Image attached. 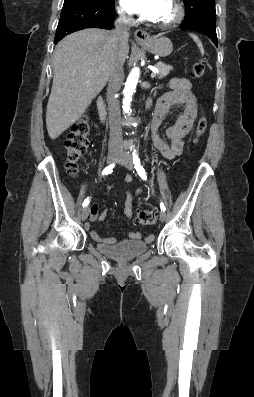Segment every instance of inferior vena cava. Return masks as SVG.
<instances>
[{
    "label": "inferior vena cava",
    "instance_id": "obj_1",
    "mask_svg": "<svg viewBox=\"0 0 254 397\" xmlns=\"http://www.w3.org/2000/svg\"><path fill=\"white\" fill-rule=\"evenodd\" d=\"M132 25H134L133 19H128L125 14H120L119 18L115 21V30L112 32L114 54L110 66L107 88V103L110 125L109 148L120 149L122 144L120 105L117 99V93L122 86L124 72L119 50L122 45L128 42V31Z\"/></svg>",
    "mask_w": 254,
    "mask_h": 397
}]
</instances>
